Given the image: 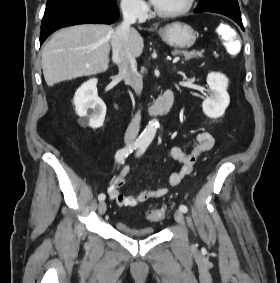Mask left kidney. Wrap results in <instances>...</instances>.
Here are the masks:
<instances>
[{"label":"left kidney","mask_w":280,"mask_h":283,"mask_svg":"<svg viewBox=\"0 0 280 283\" xmlns=\"http://www.w3.org/2000/svg\"><path fill=\"white\" fill-rule=\"evenodd\" d=\"M228 82V78L221 73L211 72L208 74L209 96L202 103V110L206 116L216 119L225 113L230 103L227 92Z\"/></svg>","instance_id":"1"}]
</instances>
